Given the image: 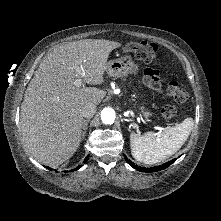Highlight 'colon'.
<instances>
[{"label":"colon","mask_w":221,"mask_h":221,"mask_svg":"<svg viewBox=\"0 0 221 221\" xmlns=\"http://www.w3.org/2000/svg\"><path fill=\"white\" fill-rule=\"evenodd\" d=\"M124 52L132 53L139 60L146 63H155L159 58L157 46L148 42H128L124 46ZM145 82L155 88L162 90V85L159 79V72L155 69L148 68L144 72ZM166 94L176 103H184L188 99L186 90L176 80H170L165 87ZM176 107L173 104H168L162 109V116L170 120L176 115Z\"/></svg>","instance_id":"5ec220e1"}]
</instances>
